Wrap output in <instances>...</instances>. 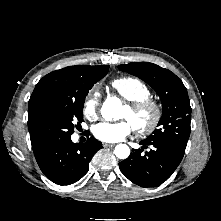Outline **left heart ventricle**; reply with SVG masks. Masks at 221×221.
<instances>
[{
	"label": "left heart ventricle",
	"mask_w": 221,
	"mask_h": 221,
	"mask_svg": "<svg viewBox=\"0 0 221 221\" xmlns=\"http://www.w3.org/2000/svg\"><path fill=\"white\" fill-rule=\"evenodd\" d=\"M149 116V112H145L136 117H133L128 108L124 107L121 110V117L128 119L132 123V125H144L149 120Z\"/></svg>",
	"instance_id": "left-heart-ventricle-1"
}]
</instances>
